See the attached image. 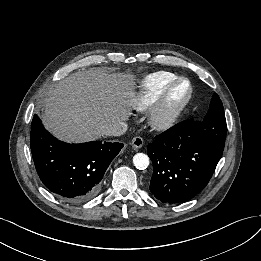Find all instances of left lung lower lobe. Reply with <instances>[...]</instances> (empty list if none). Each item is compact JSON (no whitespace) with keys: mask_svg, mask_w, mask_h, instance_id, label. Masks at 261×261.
<instances>
[{"mask_svg":"<svg viewBox=\"0 0 261 261\" xmlns=\"http://www.w3.org/2000/svg\"><path fill=\"white\" fill-rule=\"evenodd\" d=\"M201 125L193 119L182 121L148 145L153 163L150 191L161 202L189 201L211 179L223 150L202 141Z\"/></svg>","mask_w":261,"mask_h":261,"instance_id":"0a47b994","label":"left lung lower lobe"}]
</instances>
